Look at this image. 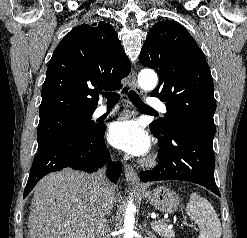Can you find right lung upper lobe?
I'll return each instance as SVG.
<instances>
[{
    "label": "right lung upper lobe",
    "mask_w": 247,
    "mask_h": 238,
    "mask_svg": "<svg viewBox=\"0 0 247 238\" xmlns=\"http://www.w3.org/2000/svg\"><path fill=\"white\" fill-rule=\"evenodd\" d=\"M129 71V59L110 24L97 21L79 25L61 40L49 62L40 121L94 112L97 92L121 89L120 81Z\"/></svg>",
    "instance_id": "obj_1"
}]
</instances>
